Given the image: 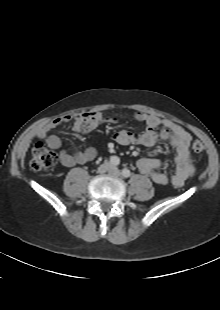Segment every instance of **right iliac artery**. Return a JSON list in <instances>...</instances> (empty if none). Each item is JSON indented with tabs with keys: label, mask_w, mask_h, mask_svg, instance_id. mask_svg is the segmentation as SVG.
I'll return each instance as SVG.
<instances>
[{
	"label": "right iliac artery",
	"mask_w": 220,
	"mask_h": 310,
	"mask_svg": "<svg viewBox=\"0 0 220 310\" xmlns=\"http://www.w3.org/2000/svg\"><path fill=\"white\" fill-rule=\"evenodd\" d=\"M110 163L114 166H117L120 163V160L117 156H112L110 158Z\"/></svg>",
	"instance_id": "1"
}]
</instances>
